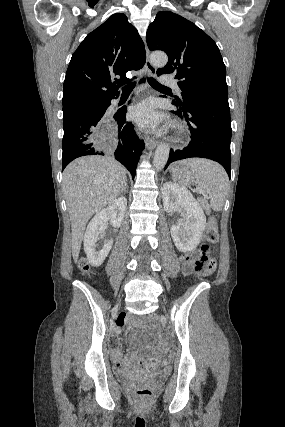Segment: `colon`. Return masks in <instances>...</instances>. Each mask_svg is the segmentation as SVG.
I'll list each match as a JSON object with an SVG mask.
<instances>
[{
    "label": "colon",
    "instance_id": "colon-1",
    "mask_svg": "<svg viewBox=\"0 0 285 427\" xmlns=\"http://www.w3.org/2000/svg\"><path fill=\"white\" fill-rule=\"evenodd\" d=\"M218 242V231L215 226V223L211 221L205 232V242L201 245L200 251L195 256H190L186 259L183 269L186 273H191L196 276H202L210 274L214 271L216 266V261L213 256L209 254V245H214ZM79 268L85 274L89 275L90 265L85 259L79 261ZM161 360L155 358H143L142 364L144 368L153 372L156 371L160 364ZM136 396L138 401L141 403H147L152 400V389L148 386H139L136 389Z\"/></svg>",
    "mask_w": 285,
    "mask_h": 427
}]
</instances>
